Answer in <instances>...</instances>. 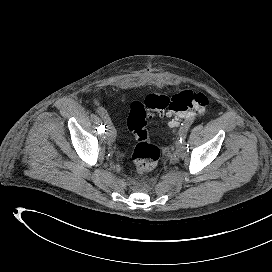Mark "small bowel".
Returning <instances> with one entry per match:
<instances>
[{"instance_id":"1","label":"small bowel","mask_w":272,"mask_h":272,"mask_svg":"<svg viewBox=\"0 0 272 272\" xmlns=\"http://www.w3.org/2000/svg\"><path fill=\"white\" fill-rule=\"evenodd\" d=\"M170 125H171V126H174L175 124H174V122H171Z\"/></svg>"}]
</instances>
